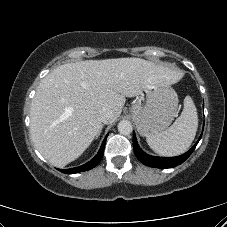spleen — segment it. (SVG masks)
Masks as SVG:
<instances>
[{
    "label": "spleen",
    "mask_w": 227,
    "mask_h": 227,
    "mask_svg": "<svg viewBox=\"0 0 227 227\" xmlns=\"http://www.w3.org/2000/svg\"><path fill=\"white\" fill-rule=\"evenodd\" d=\"M198 116L190 96L185 97L181 115L165 131L146 138L150 148L162 156H177L184 153L195 138Z\"/></svg>",
    "instance_id": "1"
}]
</instances>
